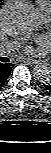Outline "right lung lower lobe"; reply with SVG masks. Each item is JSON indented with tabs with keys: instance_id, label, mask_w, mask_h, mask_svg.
<instances>
[{
	"instance_id": "98d812e1",
	"label": "right lung lower lobe",
	"mask_w": 51,
	"mask_h": 153,
	"mask_svg": "<svg viewBox=\"0 0 51 153\" xmlns=\"http://www.w3.org/2000/svg\"><path fill=\"white\" fill-rule=\"evenodd\" d=\"M13 64L11 63H0V88L7 80L8 76L10 75L11 69Z\"/></svg>"
}]
</instances>
